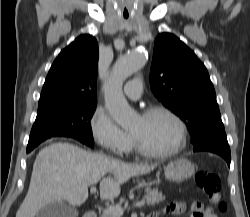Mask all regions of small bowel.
<instances>
[{
	"label": "small bowel",
	"mask_w": 250,
	"mask_h": 217,
	"mask_svg": "<svg viewBox=\"0 0 250 217\" xmlns=\"http://www.w3.org/2000/svg\"><path fill=\"white\" fill-rule=\"evenodd\" d=\"M196 203H200V202H195ZM202 204V203H200ZM203 205V204H202ZM185 211V205L181 202H173L170 203L169 205H167L161 213H156V217H159L160 215H169V216H173V215H180ZM202 217H217V215H215L209 208H205L203 209V215Z\"/></svg>",
	"instance_id": "c3829d8e"
}]
</instances>
